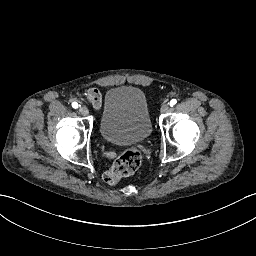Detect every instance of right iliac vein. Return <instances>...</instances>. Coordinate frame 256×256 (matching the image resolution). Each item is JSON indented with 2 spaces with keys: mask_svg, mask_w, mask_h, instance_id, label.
Returning a JSON list of instances; mask_svg holds the SVG:
<instances>
[{
  "mask_svg": "<svg viewBox=\"0 0 256 256\" xmlns=\"http://www.w3.org/2000/svg\"><path fill=\"white\" fill-rule=\"evenodd\" d=\"M79 112H80L81 115H83V116H87V115L89 114V111H88V109H87L85 106H81V107L79 108Z\"/></svg>",
  "mask_w": 256,
  "mask_h": 256,
  "instance_id": "63e3f726",
  "label": "right iliac vein"
}]
</instances>
